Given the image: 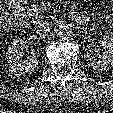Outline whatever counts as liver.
Listing matches in <instances>:
<instances>
[{
  "label": "liver",
  "instance_id": "1",
  "mask_svg": "<svg viewBox=\"0 0 113 113\" xmlns=\"http://www.w3.org/2000/svg\"><path fill=\"white\" fill-rule=\"evenodd\" d=\"M2 27H4V24H3V21H0V30H1Z\"/></svg>",
  "mask_w": 113,
  "mask_h": 113
}]
</instances>
